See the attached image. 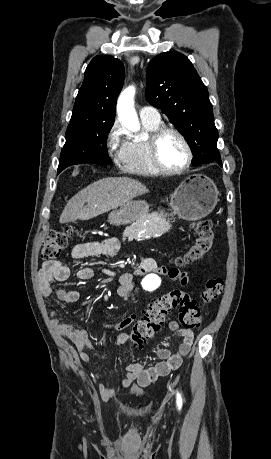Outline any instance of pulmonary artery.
Returning <instances> with one entry per match:
<instances>
[{
	"instance_id": "pulmonary-artery-1",
	"label": "pulmonary artery",
	"mask_w": 271,
	"mask_h": 459,
	"mask_svg": "<svg viewBox=\"0 0 271 459\" xmlns=\"http://www.w3.org/2000/svg\"><path fill=\"white\" fill-rule=\"evenodd\" d=\"M139 115L142 120L149 121L152 123H159L161 116L159 111L152 106H145L139 110Z\"/></svg>"
}]
</instances>
